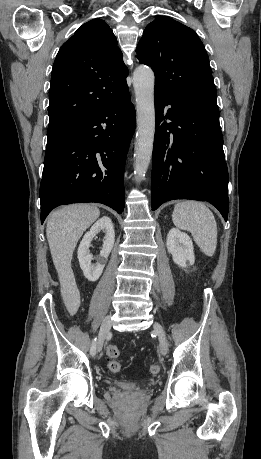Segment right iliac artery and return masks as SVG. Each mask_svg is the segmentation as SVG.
I'll use <instances>...</instances> for the list:
<instances>
[{
	"mask_svg": "<svg viewBox=\"0 0 261 459\" xmlns=\"http://www.w3.org/2000/svg\"><path fill=\"white\" fill-rule=\"evenodd\" d=\"M96 350V338L92 341L91 349H90V354L93 356L95 354Z\"/></svg>",
	"mask_w": 261,
	"mask_h": 459,
	"instance_id": "1",
	"label": "right iliac artery"
}]
</instances>
